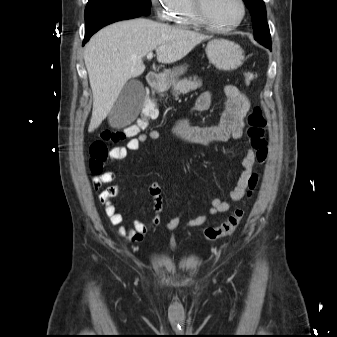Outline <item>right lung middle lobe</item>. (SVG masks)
<instances>
[{
	"label": "right lung middle lobe",
	"instance_id": "right-lung-middle-lobe-1",
	"mask_svg": "<svg viewBox=\"0 0 337 337\" xmlns=\"http://www.w3.org/2000/svg\"><path fill=\"white\" fill-rule=\"evenodd\" d=\"M150 7L151 0H89L85 9V20L103 12L117 10L149 15Z\"/></svg>",
	"mask_w": 337,
	"mask_h": 337
}]
</instances>
